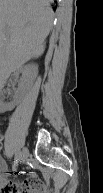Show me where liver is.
Wrapping results in <instances>:
<instances>
[{"label":"liver","instance_id":"6515ba94","mask_svg":"<svg viewBox=\"0 0 103 193\" xmlns=\"http://www.w3.org/2000/svg\"><path fill=\"white\" fill-rule=\"evenodd\" d=\"M50 0H0V77L45 51L53 13Z\"/></svg>","mask_w":103,"mask_h":193}]
</instances>
